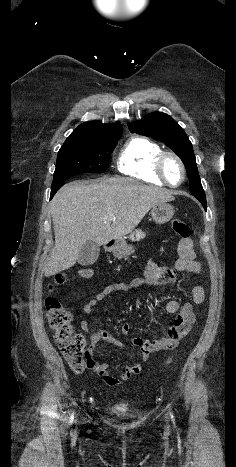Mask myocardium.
<instances>
[{
    "instance_id": "myocardium-1",
    "label": "myocardium",
    "mask_w": 236,
    "mask_h": 467,
    "mask_svg": "<svg viewBox=\"0 0 236 467\" xmlns=\"http://www.w3.org/2000/svg\"><path fill=\"white\" fill-rule=\"evenodd\" d=\"M167 158H173L180 166L181 168V171H182V178H181V181L177 184H172L168 181L167 177H166V174H165V170H164V164H165V161ZM155 172L157 174V176L164 182V184H166L167 186H170V187H179L180 185H182L186 179V167H185V164L184 162L182 161V159L174 152L172 151H162L157 159H156V162H155Z\"/></svg>"
}]
</instances>
